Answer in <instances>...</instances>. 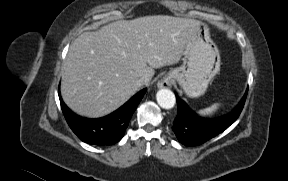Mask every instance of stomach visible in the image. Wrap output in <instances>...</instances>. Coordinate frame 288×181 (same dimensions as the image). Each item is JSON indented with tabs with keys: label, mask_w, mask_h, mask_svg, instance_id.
Listing matches in <instances>:
<instances>
[{
	"label": "stomach",
	"mask_w": 288,
	"mask_h": 181,
	"mask_svg": "<svg viewBox=\"0 0 288 181\" xmlns=\"http://www.w3.org/2000/svg\"><path fill=\"white\" fill-rule=\"evenodd\" d=\"M183 64L170 70L164 81H177L189 97L203 95L209 82L220 70V53L210 37L209 26L198 22L185 45Z\"/></svg>",
	"instance_id": "0dacf381"
}]
</instances>
